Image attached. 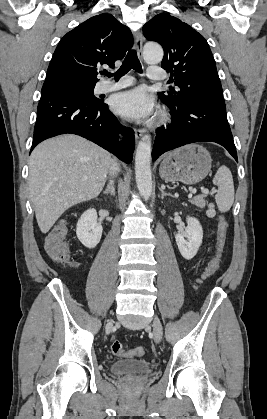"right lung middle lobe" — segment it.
<instances>
[{"instance_id": "dd1d6c3e", "label": "right lung middle lobe", "mask_w": 267, "mask_h": 419, "mask_svg": "<svg viewBox=\"0 0 267 419\" xmlns=\"http://www.w3.org/2000/svg\"><path fill=\"white\" fill-rule=\"evenodd\" d=\"M58 90L76 95L93 104L100 102V100L93 95L94 86L85 87V86H78V85H66Z\"/></svg>"}]
</instances>
